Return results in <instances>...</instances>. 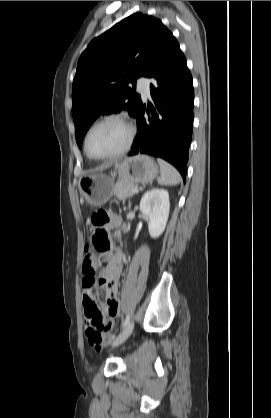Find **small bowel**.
<instances>
[{
	"instance_id": "1",
	"label": "small bowel",
	"mask_w": 271,
	"mask_h": 418,
	"mask_svg": "<svg viewBox=\"0 0 271 418\" xmlns=\"http://www.w3.org/2000/svg\"><path fill=\"white\" fill-rule=\"evenodd\" d=\"M106 223L110 227L118 228L121 226V220L113 215L107 216ZM121 258L120 253L104 252L100 258L87 255L82 263V303L85 311V327L87 329V312L92 308L98 309L108 325L107 331L103 334L104 339L107 337V333L113 328L114 320L119 315L117 282L122 268ZM101 263H105V267ZM97 270L101 271L100 277L97 279V284L98 286L104 287L107 297V301L103 307L97 305L95 298L96 283L94 273Z\"/></svg>"
}]
</instances>
